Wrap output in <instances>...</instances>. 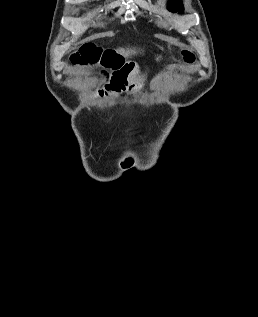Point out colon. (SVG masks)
Returning <instances> with one entry per match:
<instances>
[{
    "label": "colon",
    "mask_w": 258,
    "mask_h": 317,
    "mask_svg": "<svg viewBox=\"0 0 258 317\" xmlns=\"http://www.w3.org/2000/svg\"><path fill=\"white\" fill-rule=\"evenodd\" d=\"M184 61L190 65L195 62L191 51L183 52ZM121 56L114 50L103 49L95 43H85L70 57L74 66L98 67L104 74L116 71L121 66Z\"/></svg>",
    "instance_id": "colon-1"
}]
</instances>
